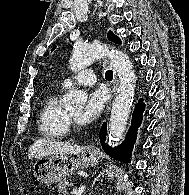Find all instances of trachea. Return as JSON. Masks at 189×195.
<instances>
[{
    "label": "trachea",
    "mask_w": 189,
    "mask_h": 195,
    "mask_svg": "<svg viewBox=\"0 0 189 195\" xmlns=\"http://www.w3.org/2000/svg\"><path fill=\"white\" fill-rule=\"evenodd\" d=\"M105 78L107 80H111L113 78V72L112 70H107L106 73H105Z\"/></svg>",
    "instance_id": "trachea-1"
}]
</instances>
